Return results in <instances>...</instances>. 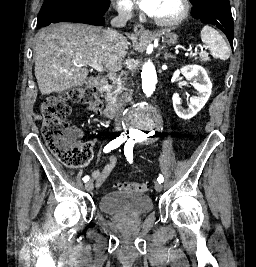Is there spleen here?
<instances>
[{"instance_id":"spleen-1","label":"spleen","mask_w":256,"mask_h":267,"mask_svg":"<svg viewBox=\"0 0 256 267\" xmlns=\"http://www.w3.org/2000/svg\"><path fill=\"white\" fill-rule=\"evenodd\" d=\"M201 40L208 50H210L213 58H219V60H228L230 56V50L221 34L210 28V26H204L201 30Z\"/></svg>"}]
</instances>
